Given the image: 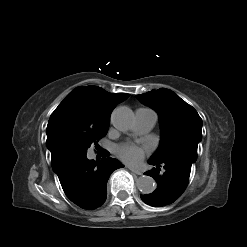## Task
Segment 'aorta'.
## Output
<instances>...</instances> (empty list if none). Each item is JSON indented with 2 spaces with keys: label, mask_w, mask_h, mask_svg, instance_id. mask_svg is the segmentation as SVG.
Returning <instances> with one entry per match:
<instances>
[{
  "label": "aorta",
  "mask_w": 247,
  "mask_h": 247,
  "mask_svg": "<svg viewBox=\"0 0 247 247\" xmlns=\"http://www.w3.org/2000/svg\"><path fill=\"white\" fill-rule=\"evenodd\" d=\"M111 120L115 128L120 131H127L134 124V114L130 108L120 106L113 111ZM136 185L143 194L152 193L156 188L154 179L146 175L139 177Z\"/></svg>",
  "instance_id": "1"
}]
</instances>
